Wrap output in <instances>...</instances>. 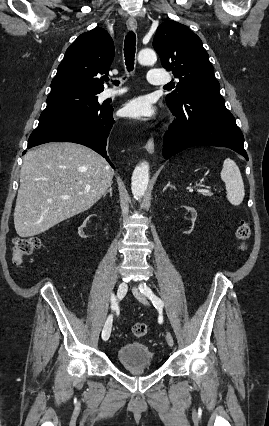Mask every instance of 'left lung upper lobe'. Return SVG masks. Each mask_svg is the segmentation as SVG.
<instances>
[{
    "mask_svg": "<svg viewBox=\"0 0 269 426\" xmlns=\"http://www.w3.org/2000/svg\"><path fill=\"white\" fill-rule=\"evenodd\" d=\"M153 47L162 66L179 78L177 88L167 95V105H175L197 91H219L220 84L201 39L188 27L173 20L157 29Z\"/></svg>",
    "mask_w": 269,
    "mask_h": 426,
    "instance_id": "5c2ea615",
    "label": "left lung upper lobe"
}]
</instances>
